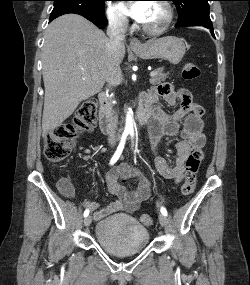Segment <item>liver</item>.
I'll return each mask as SVG.
<instances>
[{"label":"liver","mask_w":250,"mask_h":285,"mask_svg":"<svg viewBox=\"0 0 250 285\" xmlns=\"http://www.w3.org/2000/svg\"><path fill=\"white\" fill-rule=\"evenodd\" d=\"M107 41L103 31L77 14H66L50 23L42 49L43 136L102 89L106 81ZM124 55L123 44L120 62Z\"/></svg>","instance_id":"obj_1"}]
</instances>
